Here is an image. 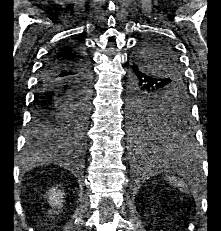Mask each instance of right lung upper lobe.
<instances>
[{
    "mask_svg": "<svg viewBox=\"0 0 221 231\" xmlns=\"http://www.w3.org/2000/svg\"><path fill=\"white\" fill-rule=\"evenodd\" d=\"M78 54V48L73 46V45H66L63 46L62 48L58 49L51 58L58 60V61H63V60H72L76 58V55ZM73 73L70 71H66L62 73V76L59 77L60 79H65L67 77H70Z\"/></svg>",
    "mask_w": 221,
    "mask_h": 231,
    "instance_id": "right-lung-upper-lobe-1",
    "label": "right lung upper lobe"
}]
</instances>
